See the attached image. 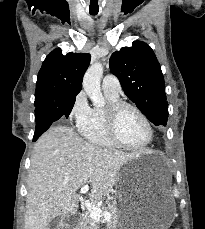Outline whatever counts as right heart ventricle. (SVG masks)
Returning <instances> with one entry per match:
<instances>
[{
    "label": "right heart ventricle",
    "mask_w": 205,
    "mask_h": 229,
    "mask_svg": "<svg viewBox=\"0 0 205 229\" xmlns=\"http://www.w3.org/2000/svg\"><path fill=\"white\" fill-rule=\"evenodd\" d=\"M109 104L119 101V96L104 92ZM82 137L92 145L103 148H115L116 145L110 140L105 119V109L94 107L91 110L89 120L79 128Z\"/></svg>",
    "instance_id": "e07e8e85"
}]
</instances>
